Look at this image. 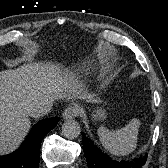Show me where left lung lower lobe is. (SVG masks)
Masks as SVG:
<instances>
[{
  "mask_svg": "<svg viewBox=\"0 0 168 168\" xmlns=\"http://www.w3.org/2000/svg\"><path fill=\"white\" fill-rule=\"evenodd\" d=\"M82 136V144L88 168H141L147 160V154L132 161L118 162L112 160L108 155L102 153L92 141L87 139L84 133H82Z\"/></svg>",
  "mask_w": 168,
  "mask_h": 168,
  "instance_id": "left-lung-lower-lobe-1",
  "label": "left lung lower lobe"
}]
</instances>
